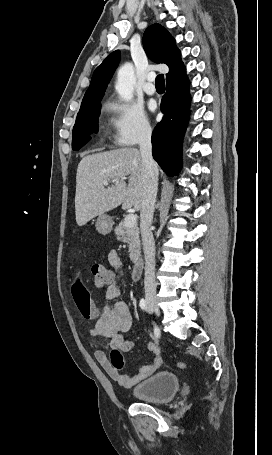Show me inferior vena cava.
<instances>
[{
  "label": "inferior vena cava",
  "mask_w": 272,
  "mask_h": 455,
  "mask_svg": "<svg viewBox=\"0 0 272 455\" xmlns=\"http://www.w3.org/2000/svg\"><path fill=\"white\" fill-rule=\"evenodd\" d=\"M151 135V128L146 127L143 129L139 141L144 188L140 209V228L145 256L144 288L147 298H153L156 295L155 242L150 227L157 195L158 168L152 157Z\"/></svg>",
  "instance_id": "1"
}]
</instances>
